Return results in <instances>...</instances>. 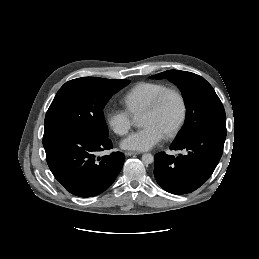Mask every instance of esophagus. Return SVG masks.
Returning <instances> with one entry per match:
<instances>
[{"label":"esophagus","instance_id":"obj_1","mask_svg":"<svg viewBox=\"0 0 259 259\" xmlns=\"http://www.w3.org/2000/svg\"><path fill=\"white\" fill-rule=\"evenodd\" d=\"M141 154L140 152H134V151H126L125 155L126 156H132V155H138Z\"/></svg>","mask_w":259,"mask_h":259}]
</instances>
